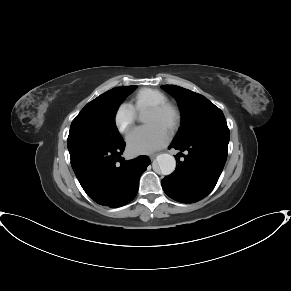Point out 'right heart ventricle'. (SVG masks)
<instances>
[{"mask_svg": "<svg viewBox=\"0 0 291 291\" xmlns=\"http://www.w3.org/2000/svg\"><path fill=\"white\" fill-rule=\"evenodd\" d=\"M167 102L166 95L160 90L153 88H142L135 93L131 106L137 112H142L151 105Z\"/></svg>", "mask_w": 291, "mask_h": 291, "instance_id": "obj_1", "label": "right heart ventricle"}]
</instances>
